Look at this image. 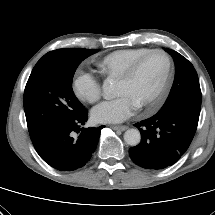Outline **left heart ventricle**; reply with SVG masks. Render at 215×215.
<instances>
[{
	"label": "left heart ventricle",
	"instance_id": "obj_1",
	"mask_svg": "<svg viewBox=\"0 0 215 215\" xmlns=\"http://www.w3.org/2000/svg\"><path fill=\"white\" fill-rule=\"evenodd\" d=\"M166 70L167 60L162 54L149 55L129 80H118L117 94L129 95L137 105L145 103L160 87Z\"/></svg>",
	"mask_w": 215,
	"mask_h": 215
}]
</instances>
